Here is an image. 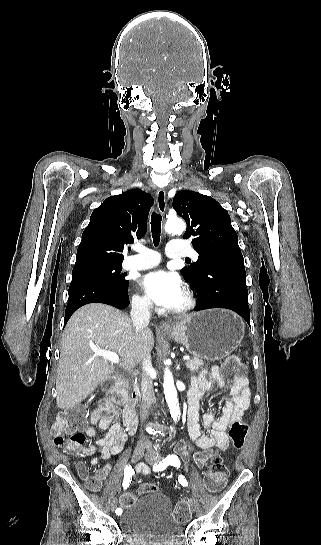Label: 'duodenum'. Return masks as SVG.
<instances>
[{"mask_svg": "<svg viewBox=\"0 0 321 545\" xmlns=\"http://www.w3.org/2000/svg\"><path fill=\"white\" fill-rule=\"evenodd\" d=\"M104 390L110 402L123 406V423L126 431L133 435L136 432L138 416L133 407H131L125 397L124 380L121 378L109 379L104 382Z\"/></svg>", "mask_w": 321, "mask_h": 545, "instance_id": "1", "label": "duodenum"}]
</instances>
